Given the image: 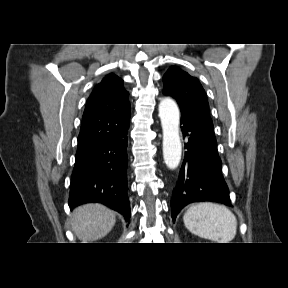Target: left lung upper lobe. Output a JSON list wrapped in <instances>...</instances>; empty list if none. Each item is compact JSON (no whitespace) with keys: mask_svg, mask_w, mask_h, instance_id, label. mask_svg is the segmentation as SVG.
<instances>
[{"mask_svg":"<svg viewBox=\"0 0 288 288\" xmlns=\"http://www.w3.org/2000/svg\"><path fill=\"white\" fill-rule=\"evenodd\" d=\"M163 82V94L177 100L182 115L198 117L213 127L207 96L197 78L172 66L164 74Z\"/></svg>","mask_w":288,"mask_h":288,"instance_id":"obj_1","label":"left lung upper lobe"}]
</instances>
